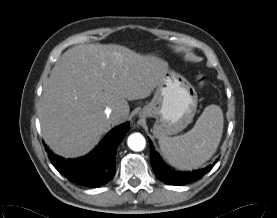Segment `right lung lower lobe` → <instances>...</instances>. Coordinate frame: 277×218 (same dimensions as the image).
I'll return each mask as SVG.
<instances>
[{"label":"right lung lower lobe","instance_id":"1","mask_svg":"<svg viewBox=\"0 0 277 218\" xmlns=\"http://www.w3.org/2000/svg\"><path fill=\"white\" fill-rule=\"evenodd\" d=\"M129 123L112 129L87 156L78 159L61 158L49 151L54 167L69 181L87 187H100L115 175L117 147L129 130Z\"/></svg>","mask_w":277,"mask_h":218}]
</instances>
